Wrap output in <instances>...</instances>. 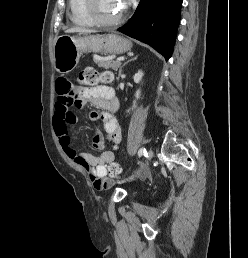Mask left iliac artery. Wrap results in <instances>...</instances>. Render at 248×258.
Returning a JSON list of instances; mask_svg holds the SVG:
<instances>
[{"mask_svg": "<svg viewBox=\"0 0 248 258\" xmlns=\"http://www.w3.org/2000/svg\"><path fill=\"white\" fill-rule=\"evenodd\" d=\"M142 155L146 156L147 155V151L145 148H141L139 151H138V156L141 157Z\"/></svg>", "mask_w": 248, "mask_h": 258, "instance_id": "1", "label": "left iliac artery"}]
</instances>
